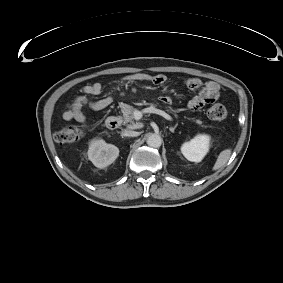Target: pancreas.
Wrapping results in <instances>:
<instances>
[{
    "label": "pancreas",
    "instance_id": "pancreas-1",
    "mask_svg": "<svg viewBox=\"0 0 283 283\" xmlns=\"http://www.w3.org/2000/svg\"><path fill=\"white\" fill-rule=\"evenodd\" d=\"M136 108L133 106L127 105L125 108H123V121L125 124H128L127 126L130 128H136L138 127V123L134 122V111ZM168 111L174 113L176 115V111L173 110L171 107L168 108ZM197 123H201L200 121H196Z\"/></svg>",
    "mask_w": 283,
    "mask_h": 283
}]
</instances>
